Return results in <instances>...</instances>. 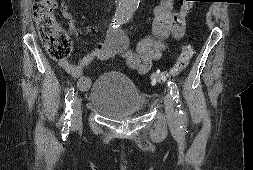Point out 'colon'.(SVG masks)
<instances>
[{"mask_svg": "<svg viewBox=\"0 0 253 170\" xmlns=\"http://www.w3.org/2000/svg\"><path fill=\"white\" fill-rule=\"evenodd\" d=\"M192 1L196 0H183L180 11L184 16L191 10ZM56 7V0H38L33 5V17L48 55L52 59L63 60L71 53L72 40L55 19L54 11ZM192 55V47L185 44L177 56L175 64L169 70L152 73V81L157 84H164L177 76L188 66Z\"/></svg>", "mask_w": 253, "mask_h": 170, "instance_id": "obj_1", "label": "colon"}]
</instances>
